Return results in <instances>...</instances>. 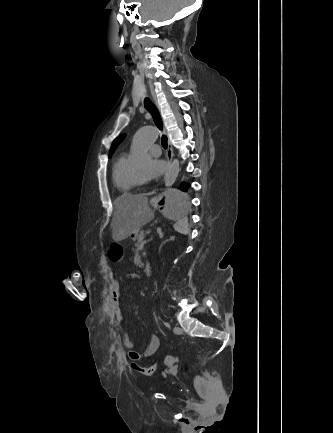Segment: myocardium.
Masks as SVG:
<instances>
[{
    "label": "myocardium",
    "mask_w": 333,
    "mask_h": 433,
    "mask_svg": "<svg viewBox=\"0 0 333 433\" xmlns=\"http://www.w3.org/2000/svg\"><path fill=\"white\" fill-rule=\"evenodd\" d=\"M131 178H132L133 183L135 185H137V186L143 185L145 183L144 180H142L141 178H139V176L136 173L134 167H132V169H131Z\"/></svg>",
    "instance_id": "obj_1"
}]
</instances>
